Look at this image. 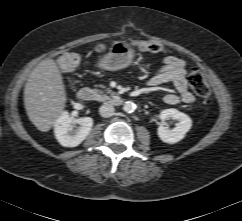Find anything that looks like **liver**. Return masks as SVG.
<instances>
[{
    "instance_id": "6515ba94",
    "label": "liver",
    "mask_w": 242,
    "mask_h": 221,
    "mask_svg": "<svg viewBox=\"0 0 242 221\" xmlns=\"http://www.w3.org/2000/svg\"><path fill=\"white\" fill-rule=\"evenodd\" d=\"M63 77L53 59L41 61L31 72L24 89L29 120L41 132L49 131L66 106Z\"/></svg>"
}]
</instances>
